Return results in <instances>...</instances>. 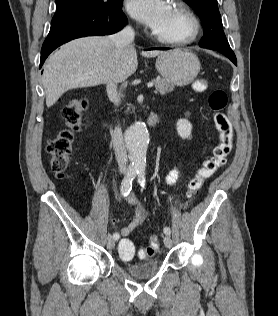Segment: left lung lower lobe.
I'll return each mask as SVG.
<instances>
[{
	"label": "left lung lower lobe",
	"instance_id": "1",
	"mask_svg": "<svg viewBox=\"0 0 278 316\" xmlns=\"http://www.w3.org/2000/svg\"><path fill=\"white\" fill-rule=\"evenodd\" d=\"M156 49H162V50H165V49H168V48H156ZM235 65H237V61L234 62Z\"/></svg>",
	"mask_w": 278,
	"mask_h": 316
}]
</instances>
